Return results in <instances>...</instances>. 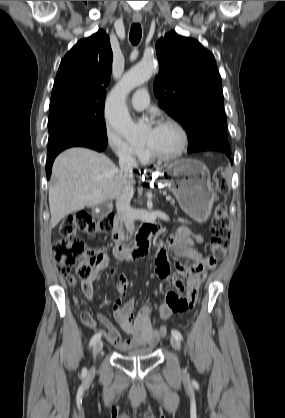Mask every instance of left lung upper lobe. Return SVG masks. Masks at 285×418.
Masks as SVG:
<instances>
[{"mask_svg": "<svg viewBox=\"0 0 285 418\" xmlns=\"http://www.w3.org/2000/svg\"><path fill=\"white\" fill-rule=\"evenodd\" d=\"M156 53L160 71L154 93L160 107L188 133V152L204 148L231 151L214 55L195 39L175 32L158 40Z\"/></svg>", "mask_w": 285, "mask_h": 418, "instance_id": "left-lung-upper-lobe-1", "label": "left lung upper lobe"}]
</instances>
